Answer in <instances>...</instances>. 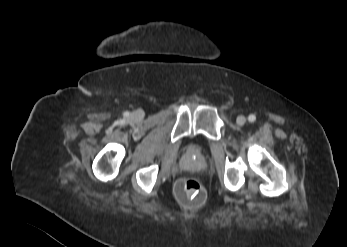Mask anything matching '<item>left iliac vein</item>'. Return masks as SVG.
<instances>
[{
    "label": "left iliac vein",
    "mask_w": 347,
    "mask_h": 247,
    "mask_svg": "<svg viewBox=\"0 0 347 247\" xmlns=\"http://www.w3.org/2000/svg\"><path fill=\"white\" fill-rule=\"evenodd\" d=\"M236 123L239 126H243L246 123V118L244 116L240 115V116L237 117Z\"/></svg>",
    "instance_id": "obj_1"
}]
</instances>
